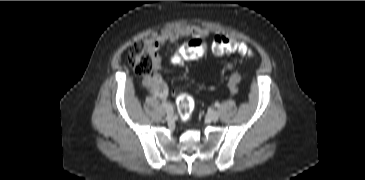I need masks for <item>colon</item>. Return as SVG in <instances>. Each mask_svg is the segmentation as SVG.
Wrapping results in <instances>:
<instances>
[{
  "label": "colon",
  "instance_id": "5ec220e1",
  "mask_svg": "<svg viewBox=\"0 0 365 180\" xmlns=\"http://www.w3.org/2000/svg\"><path fill=\"white\" fill-rule=\"evenodd\" d=\"M207 42L203 38H195L184 44L174 55L177 62L184 60H195L205 55ZM212 51L215 55L221 56L229 53H238L245 57H252V50L243 43H239L226 36H217L212 42ZM128 62L134 71L142 76L149 77L156 69V52L143 42H135L128 49ZM240 77L234 76L230 80L231 90H235ZM178 112L183 120L190 119L194 110L193 99L184 93H180L177 99Z\"/></svg>",
  "mask_w": 365,
  "mask_h": 180
}]
</instances>
